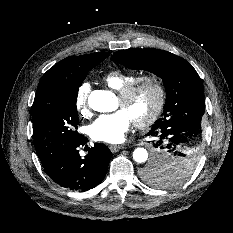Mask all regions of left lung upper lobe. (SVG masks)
<instances>
[{"label":"left lung upper lobe","instance_id":"5c2ea615","mask_svg":"<svg viewBox=\"0 0 233 233\" xmlns=\"http://www.w3.org/2000/svg\"><path fill=\"white\" fill-rule=\"evenodd\" d=\"M112 60L133 70H146L163 79L167 93L164 111L154 125L181 117H196L200 121L205 111L202 80L185 59L154 48L117 51ZM153 125V126H154ZM200 155L174 157L164 164L148 163L142 178L150 184L177 185L194 172Z\"/></svg>","mask_w":233,"mask_h":233}]
</instances>
